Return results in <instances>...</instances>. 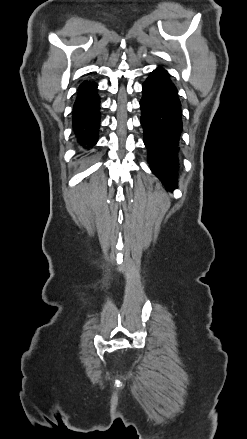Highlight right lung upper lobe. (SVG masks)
I'll list each match as a JSON object with an SVG mask.
<instances>
[{
	"label": "right lung upper lobe",
	"mask_w": 247,
	"mask_h": 439,
	"mask_svg": "<svg viewBox=\"0 0 247 439\" xmlns=\"http://www.w3.org/2000/svg\"><path fill=\"white\" fill-rule=\"evenodd\" d=\"M93 82H90V81H84L81 85H80V87L79 88H81V87H85V86H88V85H90V84H92Z\"/></svg>",
	"instance_id": "obj_1"
}]
</instances>
